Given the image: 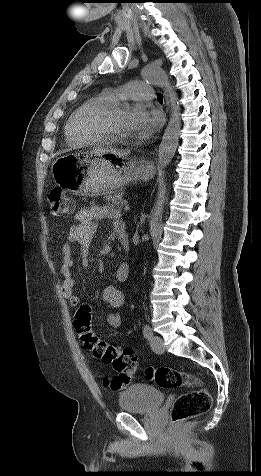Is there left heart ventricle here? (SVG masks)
<instances>
[{"instance_id":"1","label":"left heart ventricle","mask_w":261,"mask_h":476,"mask_svg":"<svg viewBox=\"0 0 261 476\" xmlns=\"http://www.w3.org/2000/svg\"><path fill=\"white\" fill-rule=\"evenodd\" d=\"M128 112V109L120 111L109 119L110 127L119 135L129 136L131 134L127 120Z\"/></svg>"}]
</instances>
